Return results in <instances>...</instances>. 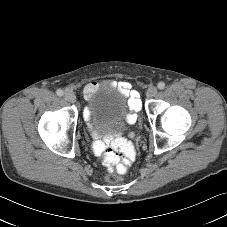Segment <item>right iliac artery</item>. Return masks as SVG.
Masks as SVG:
<instances>
[{"label": "right iliac artery", "instance_id": "82829eb1", "mask_svg": "<svg viewBox=\"0 0 227 227\" xmlns=\"http://www.w3.org/2000/svg\"><path fill=\"white\" fill-rule=\"evenodd\" d=\"M56 94H57L59 97H61V96H63V91H62L61 89H58V90L56 91Z\"/></svg>", "mask_w": 227, "mask_h": 227}]
</instances>
